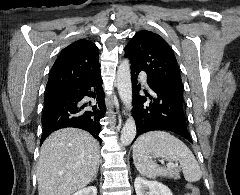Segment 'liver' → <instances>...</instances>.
I'll list each match as a JSON object with an SVG mask.
<instances>
[{
	"label": "liver",
	"instance_id": "liver-1",
	"mask_svg": "<svg viewBox=\"0 0 240 195\" xmlns=\"http://www.w3.org/2000/svg\"><path fill=\"white\" fill-rule=\"evenodd\" d=\"M99 157V143L88 131L78 127L53 131L39 155V195H70L85 187L98 171Z\"/></svg>",
	"mask_w": 240,
	"mask_h": 195
}]
</instances>
